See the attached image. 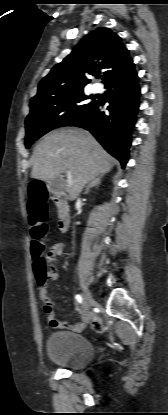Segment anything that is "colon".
Wrapping results in <instances>:
<instances>
[{
  "label": "colon",
  "mask_w": 168,
  "mask_h": 415,
  "mask_svg": "<svg viewBox=\"0 0 168 415\" xmlns=\"http://www.w3.org/2000/svg\"><path fill=\"white\" fill-rule=\"evenodd\" d=\"M28 214L30 235L32 238L31 253L34 259V272L40 286H43L50 279V273L48 272L50 257L45 253L43 243L48 231L45 222L47 218V196L40 184H32L29 186ZM92 326L97 332H104L106 330L104 321L100 316H96L92 320Z\"/></svg>",
  "instance_id": "colon-1"
}]
</instances>
